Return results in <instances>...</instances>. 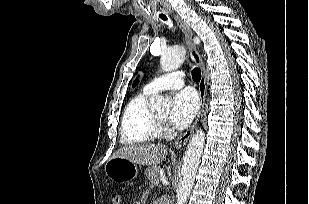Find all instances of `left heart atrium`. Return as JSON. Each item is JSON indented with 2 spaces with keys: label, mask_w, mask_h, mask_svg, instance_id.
<instances>
[{
  "label": "left heart atrium",
  "mask_w": 309,
  "mask_h": 204,
  "mask_svg": "<svg viewBox=\"0 0 309 204\" xmlns=\"http://www.w3.org/2000/svg\"><path fill=\"white\" fill-rule=\"evenodd\" d=\"M198 109L199 100L196 93L189 89L180 91L173 97L170 122L176 128H184L193 121Z\"/></svg>",
  "instance_id": "39dd6f15"
}]
</instances>
